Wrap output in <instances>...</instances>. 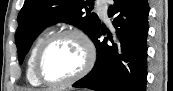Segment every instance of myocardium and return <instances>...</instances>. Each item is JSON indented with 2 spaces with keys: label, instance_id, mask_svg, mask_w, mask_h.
<instances>
[{
  "label": "myocardium",
  "instance_id": "1",
  "mask_svg": "<svg viewBox=\"0 0 173 91\" xmlns=\"http://www.w3.org/2000/svg\"><path fill=\"white\" fill-rule=\"evenodd\" d=\"M66 36L74 37L81 42L85 51V62L82 68L71 77L58 82L48 81L43 77V74L41 72V61L43 55L52 42ZM96 56H97L96 46L93 40L84 31L79 29L60 30L48 35L39 46L34 59V73L37 80L46 86L54 88L64 87L76 82L77 80L87 75L95 64Z\"/></svg>",
  "mask_w": 173,
  "mask_h": 91
}]
</instances>
